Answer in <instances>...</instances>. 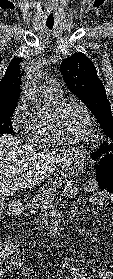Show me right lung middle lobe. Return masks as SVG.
<instances>
[{"label":"right lung middle lobe","mask_w":113,"mask_h":279,"mask_svg":"<svg viewBox=\"0 0 113 279\" xmlns=\"http://www.w3.org/2000/svg\"><path fill=\"white\" fill-rule=\"evenodd\" d=\"M14 107L0 110V134H15L12 128L11 116Z\"/></svg>","instance_id":"obj_1"}]
</instances>
